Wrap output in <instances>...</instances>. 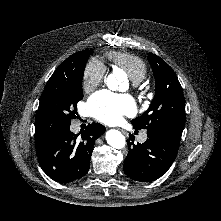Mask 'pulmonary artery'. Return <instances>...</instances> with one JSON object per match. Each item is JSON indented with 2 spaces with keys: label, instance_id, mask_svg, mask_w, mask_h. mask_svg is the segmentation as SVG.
Segmentation results:
<instances>
[{
  "label": "pulmonary artery",
  "instance_id": "e3ab8cb5",
  "mask_svg": "<svg viewBox=\"0 0 221 221\" xmlns=\"http://www.w3.org/2000/svg\"><path fill=\"white\" fill-rule=\"evenodd\" d=\"M146 138H147L146 133H143V134L140 136V141H141V142H144V141L146 140Z\"/></svg>",
  "mask_w": 221,
  "mask_h": 221
}]
</instances>
